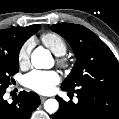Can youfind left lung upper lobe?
I'll return each instance as SVG.
<instances>
[{
    "instance_id": "5c2ea615",
    "label": "left lung upper lobe",
    "mask_w": 119,
    "mask_h": 119,
    "mask_svg": "<svg viewBox=\"0 0 119 119\" xmlns=\"http://www.w3.org/2000/svg\"><path fill=\"white\" fill-rule=\"evenodd\" d=\"M51 30L69 42L77 59L61 87L74 90L91 85H119L118 61L97 35L84 26L71 23L54 24Z\"/></svg>"
}]
</instances>
